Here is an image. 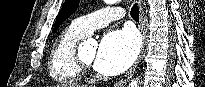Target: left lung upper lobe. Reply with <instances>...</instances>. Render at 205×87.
<instances>
[{
  "mask_svg": "<svg viewBox=\"0 0 205 87\" xmlns=\"http://www.w3.org/2000/svg\"><path fill=\"white\" fill-rule=\"evenodd\" d=\"M80 0H65L53 28V32L70 16L72 15L79 5Z\"/></svg>",
  "mask_w": 205,
  "mask_h": 87,
  "instance_id": "1",
  "label": "left lung upper lobe"
}]
</instances>
